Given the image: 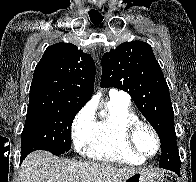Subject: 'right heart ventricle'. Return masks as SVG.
Segmentation results:
<instances>
[{"mask_svg":"<svg viewBox=\"0 0 196 182\" xmlns=\"http://www.w3.org/2000/svg\"><path fill=\"white\" fill-rule=\"evenodd\" d=\"M137 120L138 116L128 101L110 98L105 111L95 122L87 155L92 159L109 163L143 164L145 159L132 153L124 140L127 126Z\"/></svg>","mask_w":196,"mask_h":182,"instance_id":"obj_1","label":"right heart ventricle"}]
</instances>
